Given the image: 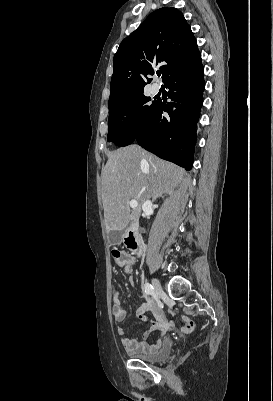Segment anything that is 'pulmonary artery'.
<instances>
[{"mask_svg":"<svg viewBox=\"0 0 273 401\" xmlns=\"http://www.w3.org/2000/svg\"><path fill=\"white\" fill-rule=\"evenodd\" d=\"M152 86H153V88L158 89V88H160L161 83H160V81L155 80V81H153Z\"/></svg>","mask_w":273,"mask_h":401,"instance_id":"obj_1","label":"pulmonary artery"}]
</instances>
